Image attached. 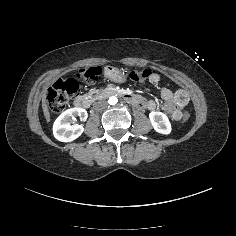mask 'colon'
Listing matches in <instances>:
<instances>
[{
	"label": "colon",
	"mask_w": 236,
	"mask_h": 236,
	"mask_svg": "<svg viewBox=\"0 0 236 236\" xmlns=\"http://www.w3.org/2000/svg\"><path fill=\"white\" fill-rule=\"evenodd\" d=\"M100 73L99 67H91L78 70L72 78L57 80L47 94L49 108L55 113L62 112L70 100L77 95L80 82H94ZM128 76L135 82H144L148 79L152 80L154 75L149 69H132L128 71ZM189 118L190 113L185 111L182 115L183 121H187Z\"/></svg>",
	"instance_id": "5ec220e1"
}]
</instances>
